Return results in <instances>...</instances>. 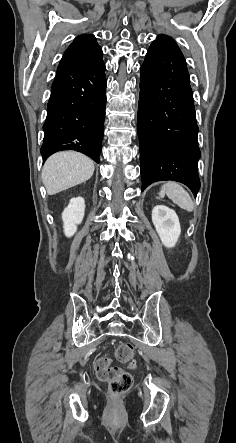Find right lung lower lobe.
I'll return each mask as SVG.
<instances>
[{
	"label": "right lung lower lobe",
	"instance_id": "obj_1",
	"mask_svg": "<svg viewBox=\"0 0 236 443\" xmlns=\"http://www.w3.org/2000/svg\"><path fill=\"white\" fill-rule=\"evenodd\" d=\"M105 106L104 63L59 64L43 125V161L55 152L76 150L99 163Z\"/></svg>",
	"mask_w": 236,
	"mask_h": 443
}]
</instances>
